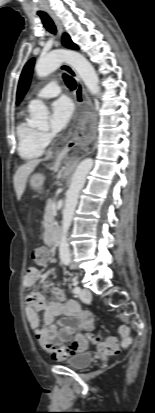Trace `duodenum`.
<instances>
[{
	"instance_id": "1",
	"label": "duodenum",
	"mask_w": 155,
	"mask_h": 413,
	"mask_svg": "<svg viewBox=\"0 0 155 413\" xmlns=\"http://www.w3.org/2000/svg\"><path fill=\"white\" fill-rule=\"evenodd\" d=\"M59 240V230H51V243L57 244Z\"/></svg>"
}]
</instances>
